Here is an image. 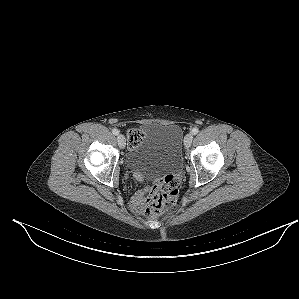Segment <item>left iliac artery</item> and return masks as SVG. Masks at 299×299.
Here are the masks:
<instances>
[{"label":"left iliac artery","instance_id":"1","mask_svg":"<svg viewBox=\"0 0 299 299\" xmlns=\"http://www.w3.org/2000/svg\"><path fill=\"white\" fill-rule=\"evenodd\" d=\"M198 132H199V129L197 127H195V128L192 129V134L193 135L198 134Z\"/></svg>","mask_w":299,"mask_h":299}]
</instances>
